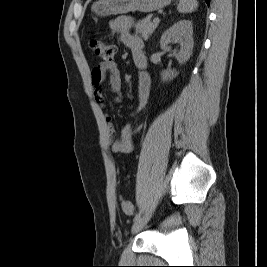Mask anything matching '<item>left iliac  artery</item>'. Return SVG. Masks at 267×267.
<instances>
[{"mask_svg": "<svg viewBox=\"0 0 267 267\" xmlns=\"http://www.w3.org/2000/svg\"><path fill=\"white\" fill-rule=\"evenodd\" d=\"M141 215H142V210L139 211V212L135 215V217H134V222L137 221V220L141 217Z\"/></svg>", "mask_w": 267, "mask_h": 267, "instance_id": "left-iliac-artery-1", "label": "left iliac artery"}]
</instances>
